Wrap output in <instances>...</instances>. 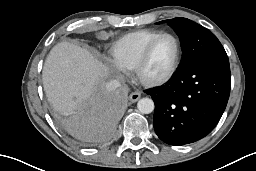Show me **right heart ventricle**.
<instances>
[{"label":"right heart ventricle","mask_w":256,"mask_h":171,"mask_svg":"<svg viewBox=\"0 0 256 171\" xmlns=\"http://www.w3.org/2000/svg\"><path fill=\"white\" fill-rule=\"evenodd\" d=\"M161 33L154 29H140L126 33L114 42L110 56L121 68L132 70L145 46Z\"/></svg>","instance_id":"1"}]
</instances>
